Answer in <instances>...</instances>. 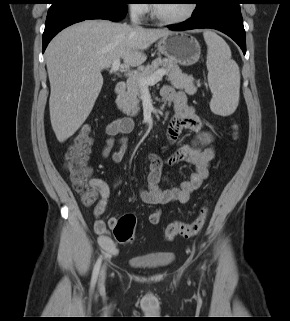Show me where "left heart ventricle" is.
Here are the masks:
<instances>
[{"mask_svg": "<svg viewBox=\"0 0 290 321\" xmlns=\"http://www.w3.org/2000/svg\"><path fill=\"white\" fill-rule=\"evenodd\" d=\"M154 5L157 13L165 18L179 17L188 9L187 0H159Z\"/></svg>", "mask_w": 290, "mask_h": 321, "instance_id": "obj_1", "label": "left heart ventricle"}]
</instances>
